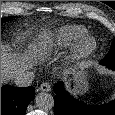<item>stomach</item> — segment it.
Segmentation results:
<instances>
[{
  "label": "stomach",
  "mask_w": 115,
  "mask_h": 115,
  "mask_svg": "<svg viewBox=\"0 0 115 115\" xmlns=\"http://www.w3.org/2000/svg\"><path fill=\"white\" fill-rule=\"evenodd\" d=\"M89 88L87 75L84 72H79L75 75V84H74V92L83 95L87 93Z\"/></svg>",
  "instance_id": "0dacf381"
}]
</instances>
